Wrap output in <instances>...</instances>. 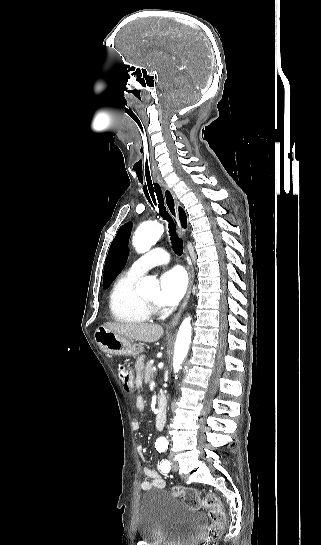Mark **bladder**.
I'll use <instances>...</instances> for the list:
<instances>
[{
  "label": "bladder",
  "instance_id": "bladder-1",
  "mask_svg": "<svg viewBox=\"0 0 321 545\" xmlns=\"http://www.w3.org/2000/svg\"><path fill=\"white\" fill-rule=\"evenodd\" d=\"M205 525V516L165 489L142 496L138 532L149 545H191Z\"/></svg>",
  "mask_w": 321,
  "mask_h": 545
}]
</instances>
